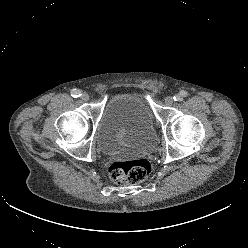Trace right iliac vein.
Returning a JSON list of instances; mask_svg holds the SVG:
<instances>
[{"instance_id": "right-iliac-vein-1", "label": "right iliac vein", "mask_w": 248, "mask_h": 248, "mask_svg": "<svg viewBox=\"0 0 248 248\" xmlns=\"http://www.w3.org/2000/svg\"><path fill=\"white\" fill-rule=\"evenodd\" d=\"M81 99H82L83 101H88V100H89V95H88V93L83 92V93L81 94Z\"/></svg>"}]
</instances>
